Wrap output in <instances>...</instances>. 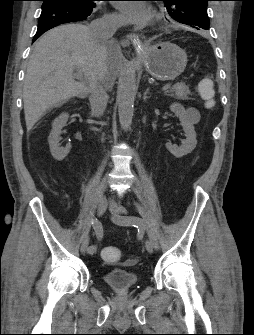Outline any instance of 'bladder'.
Masks as SVG:
<instances>
[{"label": "bladder", "instance_id": "31cf9c89", "mask_svg": "<svg viewBox=\"0 0 254 335\" xmlns=\"http://www.w3.org/2000/svg\"><path fill=\"white\" fill-rule=\"evenodd\" d=\"M103 280L107 286L121 292L133 289L137 284L136 274L121 268L107 271L103 276Z\"/></svg>", "mask_w": 254, "mask_h": 335}]
</instances>
